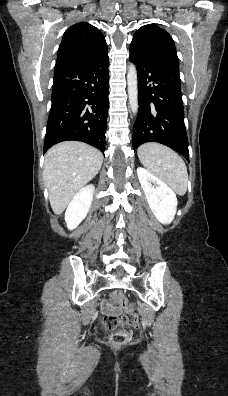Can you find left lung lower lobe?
Segmentation results:
<instances>
[{
	"instance_id": "obj_1",
	"label": "left lung lower lobe",
	"mask_w": 228,
	"mask_h": 396,
	"mask_svg": "<svg viewBox=\"0 0 228 396\" xmlns=\"http://www.w3.org/2000/svg\"><path fill=\"white\" fill-rule=\"evenodd\" d=\"M138 73L139 111L133 149L146 142L164 144L189 160L179 65L130 46Z\"/></svg>"
}]
</instances>
